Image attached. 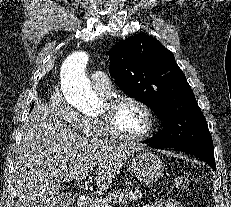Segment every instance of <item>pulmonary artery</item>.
<instances>
[{"label":"pulmonary artery","mask_w":231,"mask_h":207,"mask_svg":"<svg viewBox=\"0 0 231 207\" xmlns=\"http://www.w3.org/2000/svg\"><path fill=\"white\" fill-rule=\"evenodd\" d=\"M93 88L101 93L107 94L110 90L111 81L106 72L96 70L90 75Z\"/></svg>","instance_id":"1"}]
</instances>
